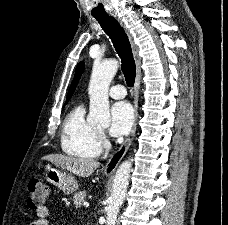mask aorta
<instances>
[{
    "label": "aorta",
    "mask_w": 228,
    "mask_h": 225,
    "mask_svg": "<svg viewBox=\"0 0 228 225\" xmlns=\"http://www.w3.org/2000/svg\"><path fill=\"white\" fill-rule=\"evenodd\" d=\"M118 66L119 60L116 58H109V60H103L99 64L96 62L93 64L88 88L90 104L87 123L89 125H101V127L111 125L108 90ZM131 167L132 161L129 159V161H123L116 171L107 209L106 225H116L117 215L121 205H123L129 185Z\"/></svg>",
    "instance_id": "762f6f07"
}]
</instances>
